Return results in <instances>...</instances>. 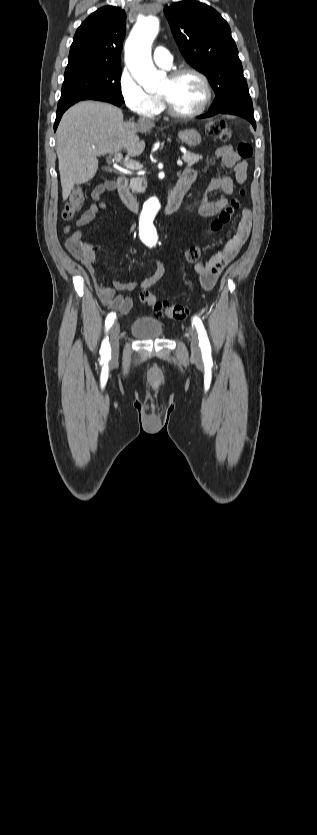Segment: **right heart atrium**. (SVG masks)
<instances>
[{
	"instance_id": "1",
	"label": "right heart atrium",
	"mask_w": 317,
	"mask_h": 835,
	"mask_svg": "<svg viewBox=\"0 0 317 835\" xmlns=\"http://www.w3.org/2000/svg\"><path fill=\"white\" fill-rule=\"evenodd\" d=\"M118 87L124 104L136 115L154 118L160 113L162 108L160 99L147 93L126 68L119 75Z\"/></svg>"
}]
</instances>
